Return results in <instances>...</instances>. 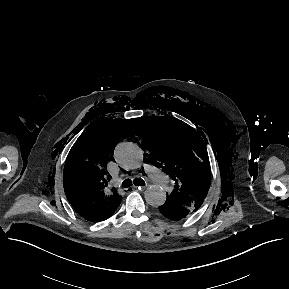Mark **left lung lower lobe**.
Masks as SVG:
<instances>
[{"instance_id": "0a47b994", "label": "left lung lower lobe", "mask_w": 289, "mask_h": 289, "mask_svg": "<svg viewBox=\"0 0 289 289\" xmlns=\"http://www.w3.org/2000/svg\"><path fill=\"white\" fill-rule=\"evenodd\" d=\"M158 208L163 216L171 220H181L192 213L190 209L184 206H177L168 202Z\"/></svg>"}]
</instances>
